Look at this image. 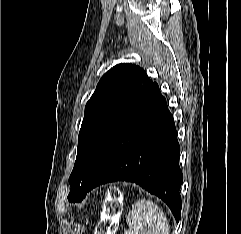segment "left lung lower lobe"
<instances>
[{"label": "left lung lower lobe", "instance_id": "left-lung-lower-lobe-1", "mask_svg": "<svg viewBox=\"0 0 241 234\" xmlns=\"http://www.w3.org/2000/svg\"><path fill=\"white\" fill-rule=\"evenodd\" d=\"M179 156L173 116L152 82L119 129L87 192L112 181L135 182L160 197L179 221L183 182Z\"/></svg>", "mask_w": 241, "mask_h": 234}]
</instances>
